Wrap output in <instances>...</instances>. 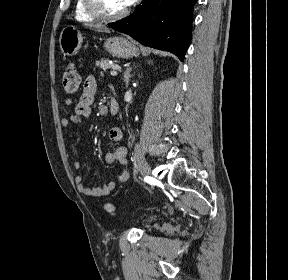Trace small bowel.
I'll return each instance as SVG.
<instances>
[{
  "label": "small bowel",
  "instance_id": "c3829d8e",
  "mask_svg": "<svg viewBox=\"0 0 288 280\" xmlns=\"http://www.w3.org/2000/svg\"><path fill=\"white\" fill-rule=\"evenodd\" d=\"M98 90V84L96 78L90 75L86 78L83 91L79 98L78 103L75 106L74 112L66 118L61 120V125L64 128H68L71 124H80L85 122L91 115L92 104L94 102L95 95ZM109 138L113 142L112 149L106 153L105 162L107 164H118L120 166V173L117 180L110 181L104 186L92 188L84 183L82 176L78 175L75 177V183L78 190L91 197H105L109 195L119 184L124 183L129 177V166L126 157L127 150L123 145V132L118 127H112L109 130ZM76 169L82 168V163L76 161L74 163Z\"/></svg>",
  "mask_w": 288,
  "mask_h": 280
}]
</instances>
